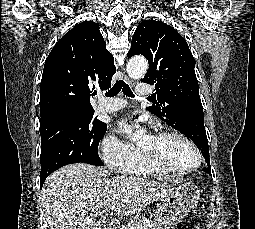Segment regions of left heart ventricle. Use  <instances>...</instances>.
I'll return each instance as SVG.
<instances>
[{
	"label": "left heart ventricle",
	"mask_w": 255,
	"mask_h": 229,
	"mask_svg": "<svg viewBox=\"0 0 255 229\" xmlns=\"http://www.w3.org/2000/svg\"><path fill=\"white\" fill-rule=\"evenodd\" d=\"M139 147L156 160L171 168H187L196 163L194 150L177 136H150L142 138Z\"/></svg>",
	"instance_id": "left-heart-ventricle-1"
}]
</instances>
